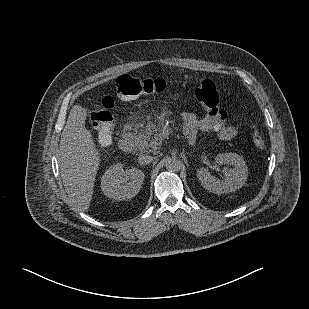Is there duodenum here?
<instances>
[{"label": "duodenum", "mask_w": 309, "mask_h": 309, "mask_svg": "<svg viewBox=\"0 0 309 309\" xmlns=\"http://www.w3.org/2000/svg\"><path fill=\"white\" fill-rule=\"evenodd\" d=\"M118 146L122 152L129 153L134 149V139L130 134H125L119 139Z\"/></svg>", "instance_id": "duodenum-1"}]
</instances>
